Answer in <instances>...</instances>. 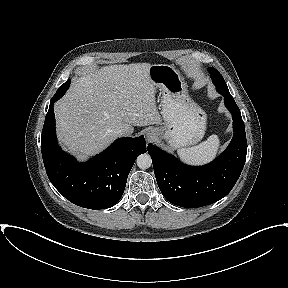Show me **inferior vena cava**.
<instances>
[{
	"label": "inferior vena cava",
	"mask_w": 288,
	"mask_h": 288,
	"mask_svg": "<svg viewBox=\"0 0 288 288\" xmlns=\"http://www.w3.org/2000/svg\"><path fill=\"white\" fill-rule=\"evenodd\" d=\"M115 133H116L117 136H127L125 130L122 129V128L116 129Z\"/></svg>",
	"instance_id": "obj_1"
}]
</instances>
